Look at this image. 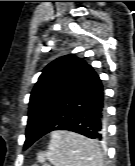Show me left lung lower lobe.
<instances>
[{"label":"left lung lower lobe","instance_id":"left-lung-lower-lobe-1","mask_svg":"<svg viewBox=\"0 0 135 166\" xmlns=\"http://www.w3.org/2000/svg\"><path fill=\"white\" fill-rule=\"evenodd\" d=\"M105 117L102 81L86 64L64 107L44 123H28L24 149L55 130H69L101 141L105 136Z\"/></svg>","mask_w":135,"mask_h":166}]
</instances>
